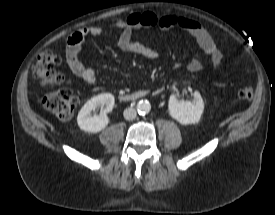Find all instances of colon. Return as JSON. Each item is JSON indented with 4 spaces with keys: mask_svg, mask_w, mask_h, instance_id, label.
Returning <instances> with one entry per match:
<instances>
[{
    "mask_svg": "<svg viewBox=\"0 0 275 215\" xmlns=\"http://www.w3.org/2000/svg\"><path fill=\"white\" fill-rule=\"evenodd\" d=\"M60 62L58 55L51 52L41 53L33 66V74L40 83L49 88H56L46 93L42 99L44 108L55 115L59 120H69L79 103V99L70 85V82L60 73L55 71V66ZM238 96L243 100L253 97L251 87H243Z\"/></svg>",
    "mask_w": 275,
    "mask_h": 215,
    "instance_id": "1",
    "label": "colon"
}]
</instances>
